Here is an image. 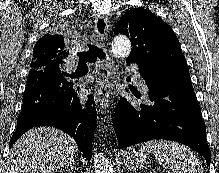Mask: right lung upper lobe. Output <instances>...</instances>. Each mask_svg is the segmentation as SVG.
Returning a JSON list of instances; mask_svg holds the SVG:
<instances>
[{"label":"right lung upper lobe","mask_w":219,"mask_h":173,"mask_svg":"<svg viewBox=\"0 0 219 173\" xmlns=\"http://www.w3.org/2000/svg\"><path fill=\"white\" fill-rule=\"evenodd\" d=\"M69 52L65 50L64 38L59 34H46L33 48L31 70L43 69L52 64H62Z\"/></svg>","instance_id":"1"}]
</instances>
